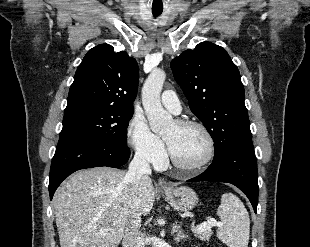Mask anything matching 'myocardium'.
Masks as SVG:
<instances>
[{"label":"myocardium","instance_id":"myocardium-1","mask_svg":"<svg viewBox=\"0 0 310 247\" xmlns=\"http://www.w3.org/2000/svg\"><path fill=\"white\" fill-rule=\"evenodd\" d=\"M176 125L178 127H181V128L194 127V128L199 129L204 134V136L207 140L208 150H207V154H206L205 158L202 161H200L197 164L186 165V164L179 162L173 156L170 149L168 148V155H169L170 162L176 168L183 170V171H186V172L195 173V172L201 171L202 169L207 167L212 162V160L215 156L216 147H215V141H214V138H213L211 132L208 130V128L204 124H202L198 121L180 120V121L176 122Z\"/></svg>","mask_w":310,"mask_h":247}]
</instances>
